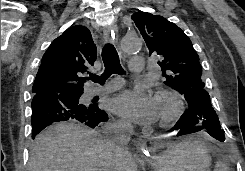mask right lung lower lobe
<instances>
[{
    "instance_id": "right-lung-lower-lobe-1",
    "label": "right lung lower lobe",
    "mask_w": 245,
    "mask_h": 171,
    "mask_svg": "<svg viewBox=\"0 0 245 171\" xmlns=\"http://www.w3.org/2000/svg\"><path fill=\"white\" fill-rule=\"evenodd\" d=\"M83 91H66L59 94L42 93L32 100V138L54 122L78 120L91 128L108 120L98 105L79 103Z\"/></svg>"
}]
</instances>
